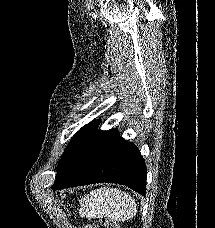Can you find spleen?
<instances>
[{
	"mask_svg": "<svg viewBox=\"0 0 215 228\" xmlns=\"http://www.w3.org/2000/svg\"><path fill=\"white\" fill-rule=\"evenodd\" d=\"M137 208L129 194L118 188L93 190L83 200L81 214L84 218H110L127 222L136 216Z\"/></svg>",
	"mask_w": 215,
	"mask_h": 228,
	"instance_id": "1",
	"label": "spleen"
}]
</instances>
